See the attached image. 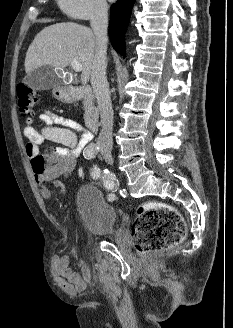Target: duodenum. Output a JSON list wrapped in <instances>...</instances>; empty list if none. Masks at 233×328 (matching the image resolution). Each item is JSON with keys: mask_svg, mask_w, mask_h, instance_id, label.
<instances>
[{"mask_svg": "<svg viewBox=\"0 0 233 328\" xmlns=\"http://www.w3.org/2000/svg\"><path fill=\"white\" fill-rule=\"evenodd\" d=\"M60 96L67 102H74L81 99L91 101L93 99V91L89 86H71L63 88ZM85 120L88 128L95 132L99 127V116L94 107H90L85 113Z\"/></svg>", "mask_w": 233, "mask_h": 328, "instance_id": "410a0bca", "label": "duodenum"}]
</instances>
